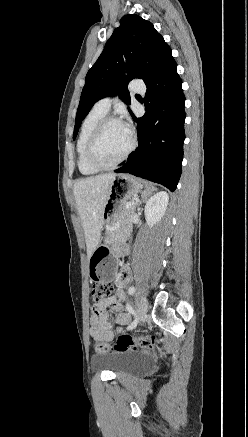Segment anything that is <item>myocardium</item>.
Instances as JSON below:
<instances>
[{"label": "myocardium", "instance_id": "obj_1", "mask_svg": "<svg viewBox=\"0 0 248 437\" xmlns=\"http://www.w3.org/2000/svg\"><path fill=\"white\" fill-rule=\"evenodd\" d=\"M110 123H120V121L117 118L110 117V116H106L102 118L95 126L87 143V147H86L87 160L89 164L97 170H110L115 168L116 166H118L120 163H122L124 160L127 159V157L132 153V151L135 149L136 146L135 138L132 135H130V143L128 148L116 161L110 164H103L102 162H100L96 156V146L103 130Z\"/></svg>", "mask_w": 248, "mask_h": 437}]
</instances>
